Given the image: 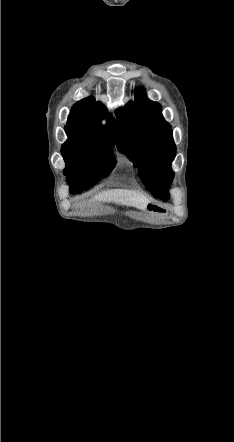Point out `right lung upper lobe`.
<instances>
[{
    "instance_id": "right-lung-upper-lobe-1",
    "label": "right lung upper lobe",
    "mask_w": 234,
    "mask_h": 442,
    "mask_svg": "<svg viewBox=\"0 0 234 442\" xmlns=\"http://www.w3.org/2000/svg\"><path fill=\"white\" fill-rule=\"evenodd\" d=\"M104 115H108L105 106L93 97H87L72 107L65 129L88 145L113 147L114 122L110 119L105 126L102 125Z\"/></svg>"
}]
</instances>
